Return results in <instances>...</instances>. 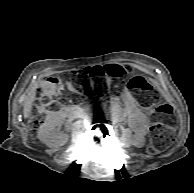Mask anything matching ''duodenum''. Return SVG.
Listing matches in <instances>:
<instances>
[{"label":"duodenum","mask_w":194,"mask_h":193,"mask_svg":"<svg viewBox=\"0 0 194 193\" xmlns=\"http://www.w3.org/2000/svg\"><path fill=\"white\" fill-rule=\"evenodd\" d=\"M81 113L80 109L76 106H68L64 109V114L67 117H77Z\"/></svg>","instance_id":"duodenum-1"}]
</instances>
